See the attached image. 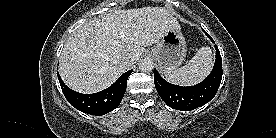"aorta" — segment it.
<instances>
[{"label": "aorta", "instance_id": "1", "mask_svg": "<svg viewBox=\"0 0 276 138\" xmlns=\"http://www.w3.org/2000/svg\"><path fill=\"white\" fill-rule=\"evenodd\" d=\"M138 66L140 71L142 72H150L153 70V67H154L153 61L149 58H144L140 60Z\"/></svg>", "mask_w": 276, "mask_h": 138}]
</instances>
